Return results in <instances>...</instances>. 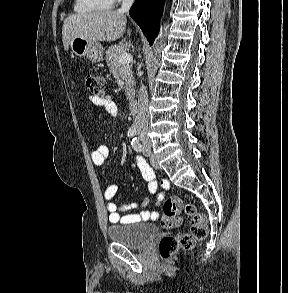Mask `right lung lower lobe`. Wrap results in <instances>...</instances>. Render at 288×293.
<instances>
[{
    "mask_svg": "<svg viewBox=\"0 0 288 293\" xmlns=\"http://www.w3.org/2000/svg\"><path fill=\"white\" fill-rule=\"evenodd\" d=\"M164 0H136L130 8V16L142 29L152 45L160 28Z\"/></svg>",
    "mask_w": 288,
    "mask_h": 293,
    "instance_id": "98d812e1",
    "label": "right lung lower lobe"
}]
</instances>
